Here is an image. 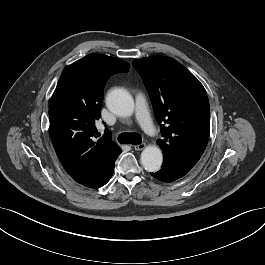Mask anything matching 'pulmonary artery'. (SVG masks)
<instances>
[{
	"label": "pulmonary artery",
	"instance_id": "1",
	"mask_svg": "<svg viewBox=\"0 0 265 265\" xmlns=\"http://www.w3.org/2000/svg\"><path fill=\"white\" fill-rule=\"evenodd\" d=\"M135 111L137 119L140 125L142 126V128L144 129V131L149 135H155L156 128L150 118L145 97L141 93H138L136 95Z\"/></svg>",
	"mask_w": 265,
	"mask_h": 265
}]
</instances>
